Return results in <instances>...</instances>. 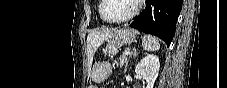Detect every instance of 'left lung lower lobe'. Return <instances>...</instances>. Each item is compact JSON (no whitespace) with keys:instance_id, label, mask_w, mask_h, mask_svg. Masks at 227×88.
Segmentation results:
<instances>
[{"instance_id":"0a47b994","label":"left lung lower lobe","mask_w":227,"mask_h":88,"mask_svg":"<svg viewBox=\"0 0 227 88\" xmlns=\"http://www.w3.org/2000/svg\"><path fill=\"white\" fill-rule=\"evenodd\" d=\"M183 0H146V8L129 26L160 37L169 47Z\"/></svg>"}]
</instances>
